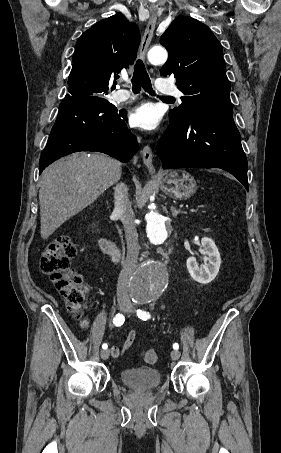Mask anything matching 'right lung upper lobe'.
I'll return each mask as SVG.
<instances>
[{
    "mask_svg": "<svg viewBox=\"0 0 281 453\" xmlns=\"http://www.w3.org/2000/svg\"><path fill=\"white\" fill-rule=\"evenodd\" d=\"M139 44L137 25L121 14L96 23L76 43L65 99L99 97L114 90L113 74L133 64Z\"/></svg>",
    "mask_w": 281,
    "mask_h": 453,
    "instance_id": "1",
    "label": "right lung upper lobe"
}]
</instances>
